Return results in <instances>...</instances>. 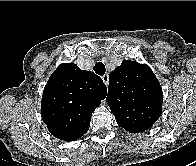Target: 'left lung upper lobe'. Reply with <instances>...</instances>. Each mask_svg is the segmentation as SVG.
Wrapping results in <instances>:
<instances>
[{
    "mask_svg": "<svg viewBox=\"0 0 196 166\" xmlns=\"http://www.w3.org/2000/svg\"><path fill=\"white\" fill-rule=\"evenodd\" d=\"M106 101L119 126L130 133H140L160 117L163 93L149 66L123 60L110 73Z\"/></svg>",
    "mask_w": 196,
    "mask_h": 166,
    "instance_id": "5c2ea615",
    "label": "left lung upper lobe"
}]
</instances>
